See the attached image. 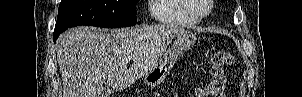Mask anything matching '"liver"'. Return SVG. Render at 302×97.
<instances>
[{
  "mask_svg": "<svg viewBox=\"0 0 302 97\" xmlns=\"http://www.w3.org/2000/svg\"><path fill=\"white\" fill-rule=\"evenodd\" d=\"M183 32L167 25L66 30L56 42L63 97H100L104 84L115 91L123 90L156 65L171 40ZM128 58L133 60L129 69Z\"/></svg>",
  "mask_w": 302,
  "mask_h": 97,
  "instance_id": "6515ba94",
  "label": "liver"
}]
</instances>
